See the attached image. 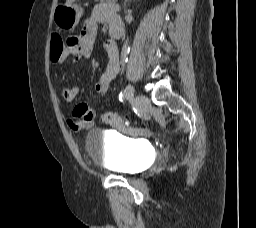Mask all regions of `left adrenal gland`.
<instances>
[{"label": "left adrenal gland", "instance_id": "1", "mask_svg": "<svg viewBox=\"0 0 256 228\" xmlns=\"http://www.w3.org/2000/svg\"><path fill=\"white\" fill-rule=\"evenodd\" d=\"M128 1H129V0H125L124 7L126 6V3H127Z\"/></svg>", "mask_w": 256, "mask_h": 228}]
</instances>
